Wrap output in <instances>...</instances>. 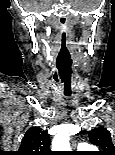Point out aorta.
I'll use <instances>...</instances> for the list:
<instances>
[{
  "instance_id": "obj_1",
  "label": "aorta",
  "mask_w": 115,
  "mask_h": 155,
  "mask_svg": "<svg viewBox=\"0 0 115 155\" xmlns=\"http://www.w3.org/2000/svg\"><path fill=\"white\" fill-rule=\"evenodd\" d=\"M69 126H62L60 132L52 140V150L69 151Z\"/></svg>"
}]
</instances>
